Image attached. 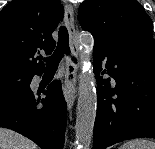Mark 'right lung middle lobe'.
I'll return each mask as SVG.
<instances>
[{"mask_svg":"<svg viewBox=\"0 0 155 149\" xmlns=\"http://www.w3.org/2000/svg\"><path fill=\"white\" fill-rule=\"evenodd\" d=\"M31 75L9 68H0V96H22L31 92Z\"/></svg>","mask_w":155,"mask_h":149,"instance_id":"dd1d6c3e","label":"right lung middle lobe"}]
</instances>
